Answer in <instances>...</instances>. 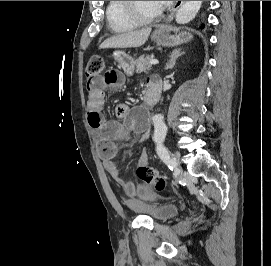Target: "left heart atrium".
Listing matches in <instances>:
<instances>
[{
    "mask_svg": "<svg viewBox=\"0 0 271 266\" xmlns=\"http://www.w3.org/2000/svg\"><path fill=\"white\" fill-rule=\"evenodd\" d=\"M155 3L159 9H163L164 7L170 5L172 1H155Z\"/></svg>",
    "mask_w": 271,
    "mask_h": 266,
    "instance_id": "left-heart-atrium-1",
    "label": "left heart atrium"
}]
</instances>
